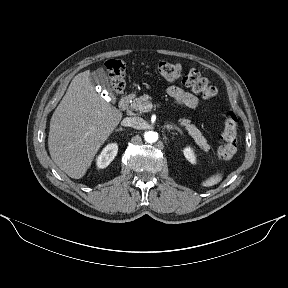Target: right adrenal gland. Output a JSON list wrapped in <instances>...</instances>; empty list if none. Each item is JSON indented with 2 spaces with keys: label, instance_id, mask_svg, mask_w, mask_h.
<instances>
[{
  "label": "right adrenal gland",
  "instance_id": "obj_1",
  "mask_svg": "<svg viewBox=\"0 0 288 288\" xmlns=\"http://www.w3.org/2000/svg\"><path fill=\"white\" fill-rule=\"evenodd\" d=\"M124 130L122 127H120L119 129H116V131H122Z\"/></svg>",
  "mask_w": 288,
  "mask_h": 288
}]
</instances>
